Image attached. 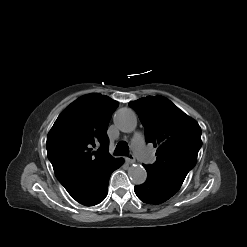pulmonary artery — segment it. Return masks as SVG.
<instances>
[{"label": "pulmonary artery", "mask_w": 247, "mask_h": 247, "mask_svg": "<svg viewBox=\"0 0 247 247\" xmlns=\"http://www.w3.org/2000/svg\"><path fill=\"white\" fill-rule=\"evenodd\" d=\"M134 151L145 162L152 160V155L144 144V138L141 134H136L133 139Z\"/></svg>", "instance_id": "e3ab8cb5"}]
</instances>
